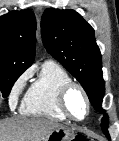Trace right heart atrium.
<instances>
[{
	"label": "right heart atrium",
	"mask_w": 119,
	"mask_h": 141,
	"mask_svg": "<svg viewBox=\"0 0 119 141\" xmlns=\"http://www.w3.org/2000/svg\"><path fill=\"white\" fill-rule=\"evenodd\" d=\"M31 73H32L31 69L26 70L14 82L9 95V104L11 108H15L17 106L18 101L26 86V83L31 76Z\"/></svg>",
	"instance_id": "right-heart-atrium-1"
}]
</instances>
